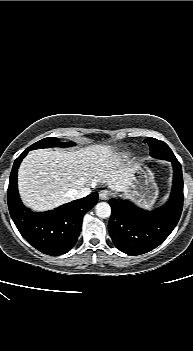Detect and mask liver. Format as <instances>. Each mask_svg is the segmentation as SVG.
I'll use <instances>...</instances> for the list:
<instances>
[{
    "instance_id": "1",
    "label": "liver",
    "mask_w": 193,
    "mask_h": 351,
    "mask_svg": "<svg viewBox=\"0 0 193 351\" xmlns=\"http://www.w3.org/2000/svg\"><path fill=\"white\" fill-rule=\"evenodd\" d=\"M127 168L110 146L79 150L39 149L28 153L18 171V187L25 205L45 211L72 201V190L105 183L126 191L132 182Z\"/></svg>"
}]
</instances>
